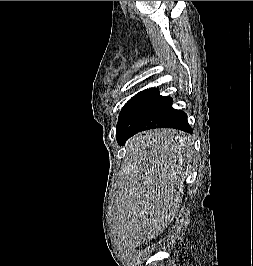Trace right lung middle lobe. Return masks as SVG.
I'll return each instance as SVG.
<instances>
[{
  "label": "right lung middle lobe",
  "mask_w": 253,
  "mask_h": 266,
  "mask_svg": "<svg viewBox=\"0 0 253 266\" xmlns=\"http://www.w3.org/2000/svg\"><path fill=\"white\" fill-rule=\"evenodd\" d=\"M171 107V97L161 96L155 89L145 90L124 105L118 123L131 129L152 126L163 120Z\"/></svg>",
  "instance_id": "dd1d6c3e"
}]
</instances>
